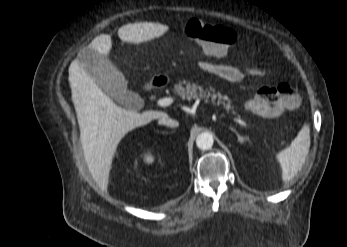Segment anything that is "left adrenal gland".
<instances>
[{"label": "left adrenal gland", "mask_w": 347, "mask_h": 247, "mask_svg": "<svg viewBox=\"0 0 347 247\" xmlns=\"http://www.w3.org/2000/svg\"><path fill=\"white\" fill-rule=\"evenodd\" d=\"M230 129H231V131H233V132L236 134V136H237V138H238V141H239L241 144H243V143H244V138L237 132V130H236L235 128H233V127L230 126Z\"/></svg>", "instance_id": "1"}]
</instances>
